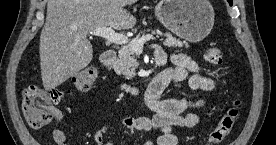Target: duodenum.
Segmentation results:
<instances>
[{
  "instance_id": "1",
  "label": "duodenum",
  "mask_w": 276,
  "mask_h": 145,
  "mask_svg": "<svg viewBox=\"0 0 276 145\" xmlns=\"http://www.w3.org/2000/svg\"><path fill=\"white\" fill-rule=\"evenodd\" d=\"M116 59H117L116 51L113 49H108L102 54L101 62L106 69L111 70L115 64ZM155 61H156V64L160 66L165 63V58L161 55H157L155 57ZM152 83L154 87L162 90L168 84V79L166 77H163L161 74H159L157 77H155L152 80ZM122 90L132 96L137 95L140 91L138 86L126 85V84L122 86Z\"/></svg>"
}]
</instances>
